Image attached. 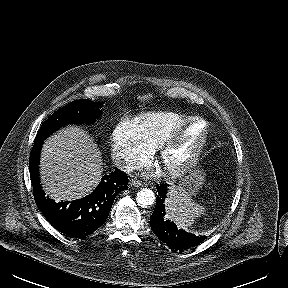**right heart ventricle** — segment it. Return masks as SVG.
<instances>
[{
    "label": "right heart ventricle",
    "instance_id": "e07e8e85",
    "mask_svg": "<svg viewBox=\"0 0 288 288\" xmlns=\"http://www.w3.org/2000/svg\"><path fill=\"white\" fill-rule=\"evenodd\" d=\"M189 118L182 113L160 111L143 114L138 117L137 122L145 139L153 148H156L165 135Z\"/></svg>",
    "mask_w": 288,
    "mask_h": 288
}]
</instances>
